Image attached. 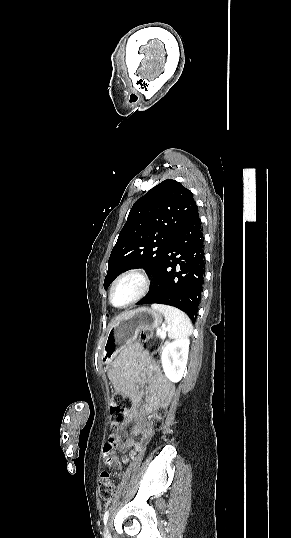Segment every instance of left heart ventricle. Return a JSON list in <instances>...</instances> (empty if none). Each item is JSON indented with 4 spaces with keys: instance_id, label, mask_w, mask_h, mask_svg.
I'll return each instance as SVG.
<instances>
[{
    "instance_id": "left-heart-ventricle-1",
    "label": "left heart ventricle",
    "mask_w": 291,
    "mask_h": 538,
    "mask_svg": "<svg viewBox=\"0 0 291 538\" xmlns=\"http://www.w3.org/2000/svg\"><path fill=\"white\" fill-rule=\"evenodd\" d=\"M141 284L137 278H127L120 282L113 293V302L122 305L130 300L139 290Z\"/></svg>"
}]
</instances>
